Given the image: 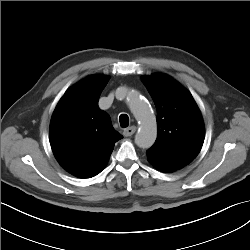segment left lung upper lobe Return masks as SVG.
Returning a JSON list of instances; mask_svg holds the SVG:
<instances>
[{"label": "left lung upper lobe", "instance_id": "obj_1", "mask_svg": "<svg viewBox=\"0 0 250 250\" xmlns=\"http://www.w3.org/2000/svg\"><path fill=\"white\" fill-rule=\"evenodd\" d=\"M157 109L158 134L152 153L193 160L204 141V123L191 94L164 74L144 76Z\"/></svg>", "mask_w": 250, "mask_h": 250}]
</instances>
